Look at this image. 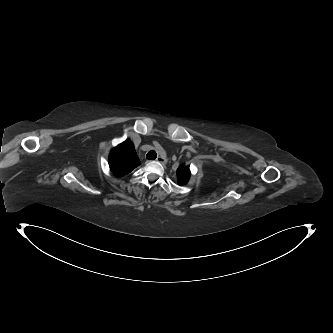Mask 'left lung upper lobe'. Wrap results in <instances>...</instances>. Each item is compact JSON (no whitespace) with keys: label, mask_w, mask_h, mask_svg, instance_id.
Returning a JSON list of instances; mask_svg holds the SVG:
<instances>
[{"label":"left lung upper lobe","mask_w":333,"mask_h":333,"mask_svg":"<svg viewBox=\"0 0 333 333\" xmlns=\"http://www.w3.org/2000/svg\"><path fill=\"white\" fill-rule=\"evenodd\" d=\"M190 177V170L188 166H185L182 164L178 169H177V181L180 185H185L187 184L188 180Z\"/></svg>","instance_id":"left-lung-upper-lobe-1"}]
</instances>
